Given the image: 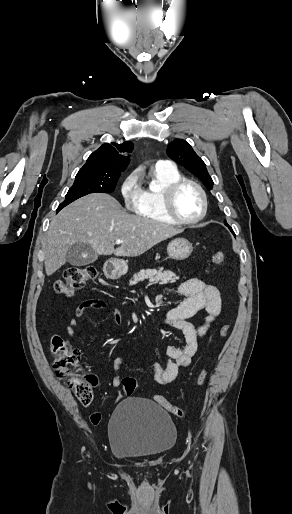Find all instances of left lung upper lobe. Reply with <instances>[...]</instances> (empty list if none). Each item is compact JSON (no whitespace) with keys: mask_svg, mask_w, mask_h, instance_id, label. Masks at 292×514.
I'll return each mask as SVG.
<instances>
[{"mask_svg":"<svg viewBox=\"0 0 292 514\" xmlns=\"http://www.w3.org/2000/svg\"><path fill=\"white\" fill-rule=\"evenodd\" d=\"M166 153L172 160L184 166L192 174L197 176L208 190L213 189V180L207 171L204 161L194 152L192 147L185 140L175 139L169 143ZM224 224L235 236L232 228L227 224L226 220L224 221Z\"/></svg>","mask_w":292,"mask_h":514,"instance_id":"5c2ea615","label":"left lung upper lobe"}]
</instances>
